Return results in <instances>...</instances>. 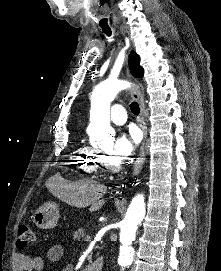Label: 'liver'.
<instances>
[{
  "mask_svg": "<svg viewBox=\"0 0 221 271\" xmlns=\"http://www.w3.org/2000/svg\"><path fill=\"white\" fill-rule=\"evenodd\" d=\"M53 187H61L57 193L51 189L52 193H55L56 197H59L61 201H65L68 205L73 207H88L92 205L94 209H100L104 205V199H99L97 191H106V185L94 181V179H78L76 183H68L63 177H57L52 183ZM49 187V183H47Z\"/></svg>",
  "mask_w": 221,
  "mask_h": 271,
  "instance_id": "obj_1",
  "label": "liver"
}]
</instances>
